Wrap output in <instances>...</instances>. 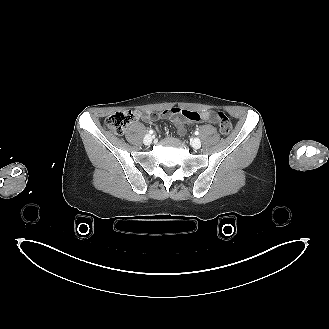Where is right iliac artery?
Instances as JSON below:
<instances>
[{"label":"right iliac artery","instance_id":"82829eb1","mask_svg":"<svg viewBox=\"0 0 329 329\" xmlns=\"http://www.w3.org/2000/svg\"><path fill=\"white\" fill-rule=\"evenodd\" d=\"M149 133H150V134H153V133H154V131H153V130H150V131H149Z\"/></svg>","mask_w":329,"mask_h":329}]
</instances>
